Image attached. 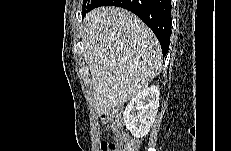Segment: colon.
Wrapping results in <instances>:
<instances>
[{"instance_id":"5ec220e1","label":"colon","mask_w":231,"mask_h":151,"mask_svg":"<svg viewBox=\"0 0 231 151\" xmlns=\"http://www.w3.org/2000/svg\"><path fill=\"white\" fill-rule=\"evenodd\" d=\"M103 126L115 133L116 139L113 142H103L102 151H136L137 141L130 137L121 128V113L114 109L101 117Z\"/></svg>"}]
</instances>
